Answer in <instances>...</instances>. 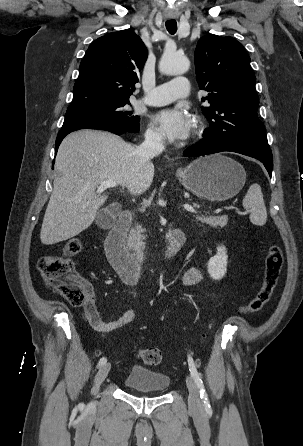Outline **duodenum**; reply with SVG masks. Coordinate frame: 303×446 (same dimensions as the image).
I'll return each instance as SVG.
<instances>
[{
	"mask_svg": "<svg viewBox=\"0 0 303 446\" xmlns=\"http://www.w3.org/2000/svg\"><path fill=\"white\" fill-rule=\"evenodd\" d=\"M132 222V213L122 211L115 225L109 231L104 247L106 256L120 277L127 283H135L140 273V260L131 255L125 246L127 231ZM185 243V236L179 229H172L166 236L160 259L164 263L170 262Z\"/></svg>",
	"mask_w": 303,
	"mask_h": 446,
	"instance_id": "410a0bca",
	"label": "duodenum"
}]
</instances>
